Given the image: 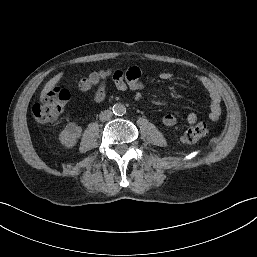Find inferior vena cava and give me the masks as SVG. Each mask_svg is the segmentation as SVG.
Returning a JSON list of instances; mask_svg holds the SVG:
<instances>
[{
  "label": "inferior vena cava",
  "mask_w": 257,
  "mask_h": 257,
  "mask_svg": "<svg viewBox=\"0 0 257 257\" xmlns=\"http://www.w3.org/2000/svg\"><path fill=\"white\" fill-rule=\"evenodd\" d=\"M112 116H113L112 111L105 110L100 113L99 118L101 121H108Z\"/></svg>",
  "instance_id": "602c4592"
}]
</instances>
